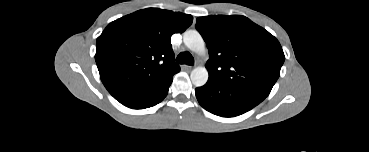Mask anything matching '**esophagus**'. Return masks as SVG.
Returning <instances> with one entry per match:
<instances>
[{
    "instance_id": "1",
    "label": "esophagus",
    "mask_w": 369,
    "mask_h": 152,
    "mask_svg": "<svg viewBox=\"0 0 369 152\" xmlns=\"http://www.w3.org/2000/svg\"><path fill=\"white\" fill-rule=\"evenodd\" d=\"M185 70H187V71H190V70H192L194 67L193 66H188V65H184V67H183Z\"/></svg>"
}]
</instances>
